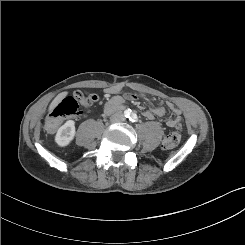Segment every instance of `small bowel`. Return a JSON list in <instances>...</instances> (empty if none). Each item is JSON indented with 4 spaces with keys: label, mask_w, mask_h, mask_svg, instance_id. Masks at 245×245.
I'll use <instances>...</instances> for the list:
<instances>
[{
    "label": "small bowel",
    "mask_w": 245,
    "mask_h": 245,
    "mask_svg": "<svg viewBox=\"0 0 245 245\" xmlns=\"http://www.w3.org/2000/svg\"><path fill=\"white\" fill-rule=\"evenodd\" d=\"M122 87L120 86H112L106 89V93L111 95V98L108 100V102L105 105L104 112L106 114H110L114 111H117L121 109L124 105V99L116 95L118 92H120ZM125 99L129 101H134L137 99V96L132 93L125 94ZM167 107L175 114V118H167L166 124L169 127H176L181 122V111L178 109L172 102L167 103ZM165 113L164 107L161 105V103H158L151 107L150 110L144 111L143 115L147 118L152 120L155 116H162Z\"/></svg>",
    "instance_id": "obj_1"
}]
</instances>
